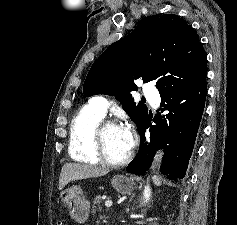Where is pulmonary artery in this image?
<instances>
[{
	"label": "pulmonary artery",
	"mask_w": 237,
	"mask_h": 225,
	"mask_svg": "<svg viewBox=\"0 0 237 225\" xmlns=\"http://www.w3.org/2000/svg\"><path fill=\"white\" fill-rule=\"evenodd\" d=\"M144 95L146 96V98L154 105H158L159 104V96H158V92L155 89V87L151 84H148L144 87ZM93 102L95 104V106L98 108V110L102 113V114H106L107 109L109 107V101L105 96H96L93 99Z\"/></svg>",
	"instance_id": "e3ab8cb5"
}]
</instances>
